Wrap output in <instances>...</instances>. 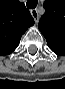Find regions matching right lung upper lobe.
Instances as JSON below:
<instances>
[{
    "instance_id": "cb5924a9",
    "label": "right lung upper lobe",
    "mask_w": 65,
    "mask_h": 89,
    "mask_svg": "<svg viewBox=\"0 0 65 89\" xmlns=\"http://www.w3.org/2000/svg\"><path fill=\"white\" fill-rule=\"evenodd\" d=\"M34 25L29 10L18 0H0V56L12 53L24 32Z\"/></svg>"
}]
</instances>
